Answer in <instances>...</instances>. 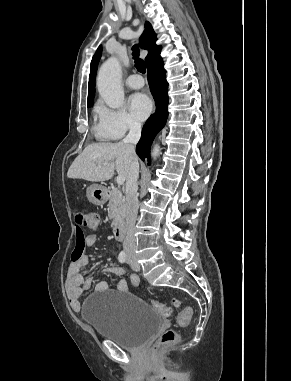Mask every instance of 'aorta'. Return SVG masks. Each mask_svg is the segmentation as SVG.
<instances>
[{
    "mask_svg": "<svg viewBox=\"0 0 291 381\" xmlns=\"http://www.w3.org/2000/svg\"><path fill=\"white\" fill-rule=\"evenodd\" d=\"M122 68L116 57H110L100 67L97 77V87L101 98L112 109H118L124 104V91L121 87ZM160 147L155 145L152 157L159 155Z\"/></svg>",
    "mask_w": 291,
    "mask_h": 381,
    "instance_id": "762f6f07",
    "label": "aorta"
}]
</instances>
